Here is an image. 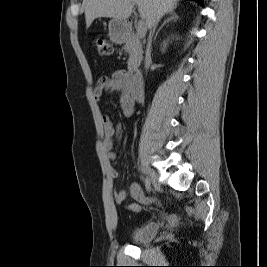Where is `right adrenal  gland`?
I'll return each instance as SVG.
<instances>
[{
    "label": "right adrenal gland",
    "mask_w": 267,
    "mask_h": 267,
    "mask_svg": "<svg viewBox=\"0 0 267 267\" xmlns=\"http://www.w3.org/2000/svg\"><path fill=\"white\" fill-rule=\"evenodd\" d=\"M178 18H179V17H178V15L175 13L174 10L169 11V12H168V18L165 19V21L163 22V24H162V25L159 27V29L157 30V32H156V34H155V36H154V40H156V37H157L159 31L164 27V25H165L166 23H169V22H171V21H173V20L176 21Z\"/></svg>",
    "instance_id": "1"
}]
</instances>
